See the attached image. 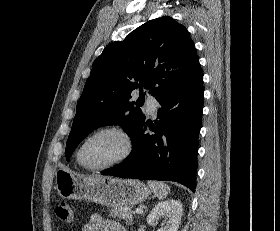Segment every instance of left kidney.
Segmentation results:
<instances>
[{
  "label": "left kidney",
  "instance_id": "left-kidney-1",
  "mask_svg": "<svg viewBox=\"0 0 280 231\" xmlns=\"http://www.w3.org/2000/svg\"><path fill=\"white\" fill-rule=\"evenodd\" d=\"M182 213L183 205L179 199H165L153 207L147 217V223L152 225L164 217L161 227L157 231H178Z\"/></svg>",
  "mask_w": 280,
  "mask_h": 231
}]
</instances>
